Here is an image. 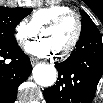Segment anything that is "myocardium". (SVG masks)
Listing matches in <instances>:
<instances>
[{
    "label": "myocardium",
    "instance_id": "obj_1",
    "mask_svg": "<svg viewBox=\"0 0 103 103\" xmlns=\"http://www.w3.org/2000/svg\"><path fill=\"white\" fill-rule=\"evenodd\" d=\"M69 19H74L76 22V30L74 33L73 38L71 39V41L69 42V44L64 47L63 49H61L60 51H57V54L60 57H64L69 55L76 47V45L78 44L81 34H82V20L80 18V16L71 11V12H67L64 13L60 16H58L57 18H55L54 20H52L51 22H49L48 24H46L42 29H41V34L47 30V29H52V28H56L60 25H62L65 21L69 20Z\"/></svg>",
    "mask_w": 103,
    "mask_h": 103
}]
</instances>
